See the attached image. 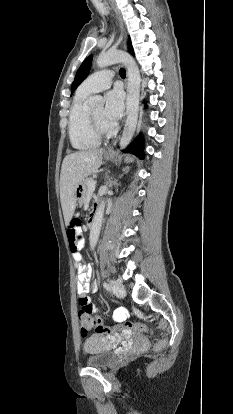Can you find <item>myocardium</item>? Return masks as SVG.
Segmentation results:
<instances>
[{"mask_svg":"<svg viewBox=\"0 0 233 414\" xmlns=\"http://www.w3.org/2000/svg\"><path fill=\"white\" fill-rule=\"evenodd\" d=\"M88 122L91 131L100 138L104 136H109L113 134L116 130L115 125H112L110 128L101 127L90 110L88 111Z\"/></svg>","mask_w":233,"mask_h":414,"instance_id":"obj_1","label":"myocardium"}]
</instances>
